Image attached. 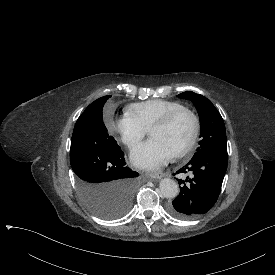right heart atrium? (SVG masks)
I'll return each mask as SVG.
<instances>
[{
  "instance_id": "obj_1",
  "label": "right heart atrium",
  "mask_w": 275,
  "mask_h": 275,
  "mask_svg": "<svg viewBox=\"0 0 275 275\" xmlns=\"http://www.w3.org/2000/svg\"><path fill=\"white\" fill-rule=\"evenodd\" d=\"M112 133L130 151H135L143 141L147 130L132 116L124 115L112 123Z\"/></svg>"
}]
</instances>
